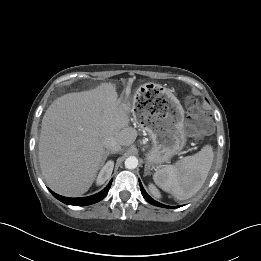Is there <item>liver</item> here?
I'll return each mask as SVG.
<instances>
[{
    "label": "liver",
    "instance_id": "6515ba94",
    "mask_svg": "<svg viewBox=\"0 0 261 261\" xmlns=\"http://www.w3.org/2000/svg\"><path fill=\"white\" fill-rule=\"evenodd\" d=\"M111 83L57 98L46 110L39 138L43 178L56 193L78 196L89 190L103 165L106 137L120 145L134 143L131 106L117 98Z\"/></svg>",
    "mask_w": 261,
    "mask_h": 261
}]
</instances>
